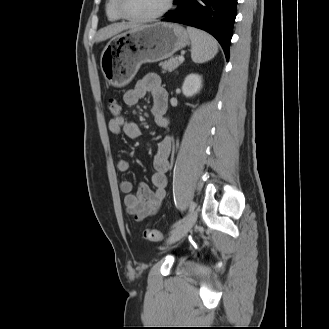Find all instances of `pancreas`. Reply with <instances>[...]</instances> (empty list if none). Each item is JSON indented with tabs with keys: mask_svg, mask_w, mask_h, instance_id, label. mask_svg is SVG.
Segmentation results:
<instances>
[{
	"mask_svg": "<svg viewBox=\"0 0 329 329\" xmlns=\"http://www.w3.org/2000/svg\"><path fill=\"white\" fill-rule=\"evenodd\" d=\"M180 64H181V62L179 61L178 57H172V58L168 59L167 61L161 62L159 65L162 67L163 73H165L166 71H168V72L173 71Z\"/></svg>",
	"mask_w": 329,
	"mask_h": 329,
	"instance_id": "obj_1",
	"label": "pancreas"
}]
</instances>
